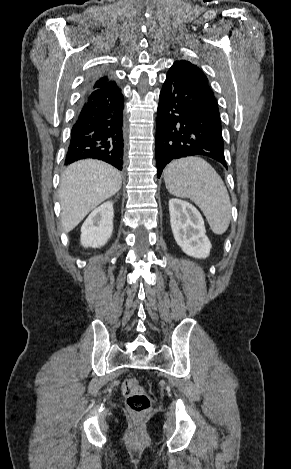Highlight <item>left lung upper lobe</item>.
I'll list each match as a JSON object with an SVG mask.
<instances>
[{
	"label": "left lung upper lobe",
	"mask_w": 291,
	"mask_h": 469,
	"mask_svg": "<svg viewBox=\"0 0 291 469\" xmlns=\"http://www.w3.org/2000/svg\"><path fill=\"white\" fill-rule=\"evenodd\" d=\"M175 71L182 73L187 80L213 94L206 75L196 65L186 60L175 61L169 72Z\"/></svg>",
	"instance_id": "1"
}]
</instances>
